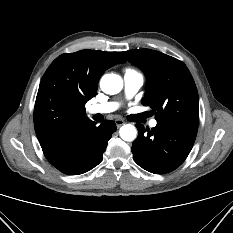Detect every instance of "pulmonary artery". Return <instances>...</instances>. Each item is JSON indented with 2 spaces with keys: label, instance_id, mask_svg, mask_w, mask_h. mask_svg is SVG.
Returning a JSON list of instances; mask_svg holds the SVG:
<instances>
[{
  "label": "pulmonary artery",
  "instance_id": "1",
  "mask_svg": "<svg viewBox=\"0 0 233 233\" xmlns=\"http://www.w3.org/2000/svg\"><path fill=\"white\" fill-rule=\"evenodd\" d=\"M144 83L143 76L138 73H127L124 76V87L125 94L128 98L134 96L142 87ZM119 107L117 102H106L101 104H94L89 108L91 114H107L114 112ZM151 127L157 126V121L155 119L150 121Z\"/></svg>",
  "mask_w": 233,
  "mask_h": 233
}]
</instances>
